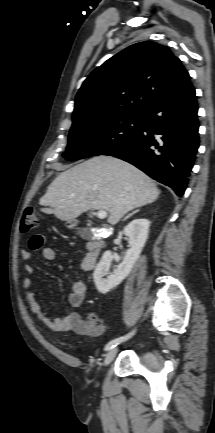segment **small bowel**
Here are the masks:
<instances>
[{
    "mask_svg": "<svg viewBox=\"0 0 215 433\" xmlns=\"http://www.w3.org/2000/svg\"><path fill=\"white\" fill-rule=\"evenodd\" d=\"M45 239L42 235H34L28 241V247L21 251L22 259L28 261L32 257V252L42 250L43 258L46 261L53 262L56 260V253L53 249L44 247ZM96 260L89 253H86L81 261V268L85 271L92 270ZM24 271L28 275L23 280V288L25 298L29 304L31 312L37 319L54 332L73 331L79 335L98 337L100 336L105 326L99 324L93 326L84 321L80 315L72 311L67 315L51 318L44 311L41 304L36 298V293L30 276L34 273V268L30 264L24 266ZM86 297V285L83 281H75L71 285V290L67 295L68 304L76 309L82 306Z\"/></svg>",
    "mask_w": 215,
    "mask_h": 433,
    "instance_id": "obj_1",
    "label": "small bowel"
}]
</instances>
